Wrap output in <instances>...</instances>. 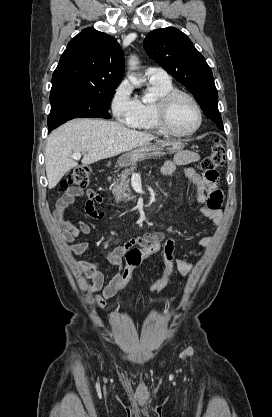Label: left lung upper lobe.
<instances>
[{
  "instance_id": "5c2ea615",
  "label": "left lung upper lobe",
  "mask_w": 272,
  "mask_h": 417,
  "mask_svg": "<svg viewBox=\"0 0 272 417\" xmlns=\"http://www.w3.org/2000/svg\"><path fill=\"white\" fill-rule=\"evenodd\" d=\"M143 46L155 62L193 94L206 116L224 130L212 70L188 36L172 27L156 29L146 36Z\"/></svg>"
}]
</instances>
